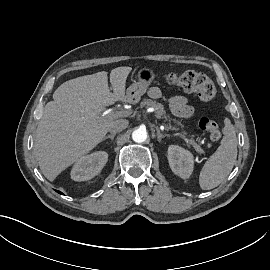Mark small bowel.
Instances as JSON below:
<instances>
[{"label": "small bowel", "mask_w": 270, "mask_h": 270, "mask_svg": "<svg viewBox=\"0 0 270 270\" xmlns=\"http://www.w3.org/2000/svg\"><path fill=\"white\" fill-rule=\"evenodd\" d=\"M150 97L154 99H164L171 112L177 117L189 118L194 112V108L188 104L187 98L183 96L165 97L162 90L154 86L149 90Z\"/></svg>", "instance_id": "1"}]
</instances>
